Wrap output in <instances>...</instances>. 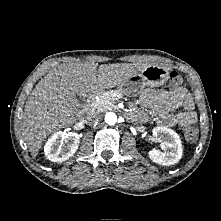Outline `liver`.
I'll list each match as a JSON object with an SVG mask.
<instances>
[{
	"mask_svg": "<svg viewBox=\"0 0 221 221\" xmlns=\"http://www.w3.org/2000/svg\"><path fill=\"white\" fill-rule=\"evenodd\" d=\"M146 64H102L94 62L62 64L49 71L31 92L22 115V139L37 156L45 139L81 118V98L120 86L137 75Z\"/></svg>",
	"mask_w": 221,
	"mask_h": 221,
	"instance_id": "1",
	"label": "liver"
}]
</instances>
